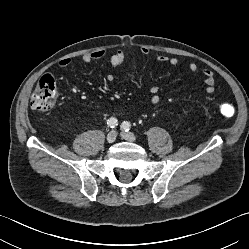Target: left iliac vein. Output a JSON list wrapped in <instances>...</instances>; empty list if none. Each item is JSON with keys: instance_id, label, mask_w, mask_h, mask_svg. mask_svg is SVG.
Wrapping results in <instances>:
<instances>
[{"instance_id": "obj_1", "label": "left iliac vein", "mask_w": 249, "mask_h": 249, "mask_svg": "<svg viewBox=\"0 0 249 249\" xmlns=\"http://www.w3.org/2000/svg\"><path fill=\"white\" fill-rule=\"evenodd\" d=\"M121 137L127 141H136V136L131 132H122Z\"/></svg>"}]
</instances>
